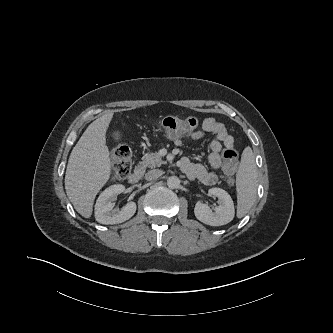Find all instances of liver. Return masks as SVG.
I'll list each match as a JSON object with an SVG mask.
<instances>
[{"label":"liver","mask_w":333,"mask_h":333,"mask_svg":"<svg viewBox=\"0 0 333 333\" xmlns=\"http://www.w3.org/2000/svg\"><path fill=\"white\" fill-rule=\"evenodd\" d=\"M113 114V111H109L87 127L68 160L66 193L76 211L84 218L91 217L94 199L111 175L106 131Z\"/></svg>","instance_id":"1"}]
</instances>
